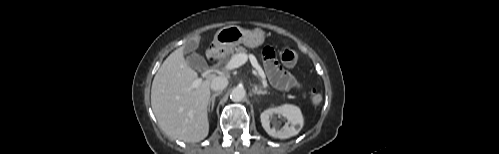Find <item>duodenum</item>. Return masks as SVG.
Wrapping results in <instances>:
<instances>
[{
  "label": "duodenum",
  "instance_id": "obj_1",
  "mask_svg": "<svg viewBox=\"0 0 499 154\" xmlns=\"http://www.w3.org/2000/svg\"><path fill=\"white\" fill-rule=\"evenodd\" d=\"M207 57H208V59L210 61V64L214 63L217 60V57H218L216 49L209 50L208 53H207Z\"/></svg>",
  "mask_w": 499,
  "mask_h": 154
}]
</instances>
